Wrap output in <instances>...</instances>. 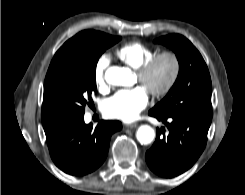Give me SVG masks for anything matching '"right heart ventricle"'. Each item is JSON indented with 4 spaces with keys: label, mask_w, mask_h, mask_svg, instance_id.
<instances>
[{
    "label": "right heart ventricle",
    "mask_w": 245,
    "mask_h": 195,
    "mask_svg": "<svg viewBox=\"0 0 245 195\" xmlns=\"http://www.w3.org/2000/svg\"><path fill=\"white\" fill-rule=\"evenodd\" d=\"M116 56L127 66L137 70L156 51L141 42H129L116 50Z\"/></svg>",
    "instance_id": "1"
}]
</instances>
